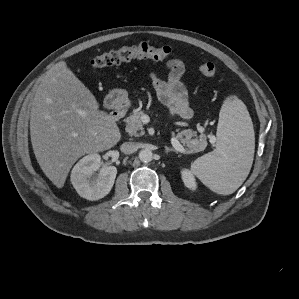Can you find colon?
<instances>
[{
  "label": "colon",
  "instance_id": "obj_1",
  "mask_svg": "<svg viewBox=\"0 0 299 299\" xmlns=\"http://www.w3.org/2000/svg\"><path fill=\"white\" fill-rule=\"evenodd\" d=\"M171 54L167 46H154L143 41L135 45L123 46L117 50L102 53L91 60L94 69L120 64L136 58H149L157 61L166 60ZM200 72L207 77L216 74V65L212 62H205L200 65Z\"/></svg>",
  "mask_w": 299,
  "mask_h": 299
}]
</instances>
